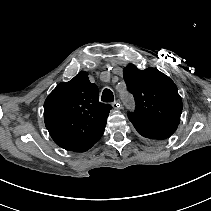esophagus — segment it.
I'll return each instance as SVG.
<instances>
[{
  "mask_svg": "<svg viewBox=\"0 0 211 211\" xmlns=\"http://www.w3.org/2000/svg\"><path fill=\"white\" fill-rule=\"evenodd\" d=\"M112 106L114 109H121V107H122L118 101L113 102Z\"/></svg>",
  "mask_w": 211,
  "mask_h": 211,
  "instance_id": "1",
  "label": "esophagus"
}]
</instances>
